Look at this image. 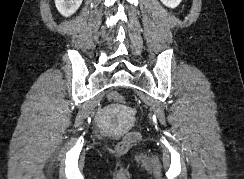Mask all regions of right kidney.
Wrapping results in <instances>:
<instances>
[{"label":"right kidney","mask_w":244,"mask_h":179,"mask_svg":"<svg viewBox=\"0 0 244 179\" xmlns=\"http://www.w3.org/2000/svg\"><path fill=\"white\" fill-rule=\"evenodd\" d=\"M56 8L62 16H72L80 8L83 0H54Z\"/></svg>","instance_id":"1"}]
</instances>
